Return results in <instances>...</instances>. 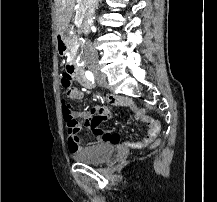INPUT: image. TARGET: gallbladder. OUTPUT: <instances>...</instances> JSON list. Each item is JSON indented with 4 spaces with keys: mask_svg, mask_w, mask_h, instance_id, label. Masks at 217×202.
I'll use <instances>...</instances> for the list:
<instances>
[{
    "mask_svg": "<svg viewBox=\"0 0 217 202\" xmlns=\"http://www.w3.org/2000/svg\"><path fill=\"white\" fill-rule=\"evenodd\" d=\"M63 38L64 40H70V38H72V34H69V32H64Z\"/></svg>",
    "mask_w": 217,
    "mask_h": 202,
    "instance_id": "1",
    "label": "gallbladder"
}]
</instances>
